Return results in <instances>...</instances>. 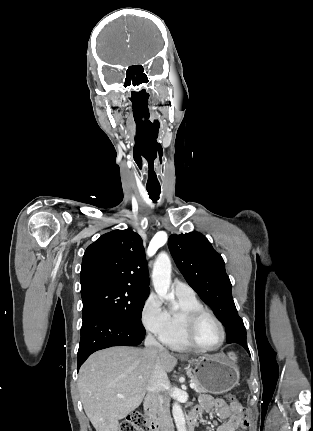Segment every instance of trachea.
Wrapping results in <instances>:
<instances>
[{"instance_id": "1", "label": "trachea", "mask_w": 313, "mask_h": 431, "mask_svg": "<svg viewBox=\"0 0 313 431\" xmlns=\"http://www.w3.org/2000/svg\"><path fill=\"white\" fill-rule=\"evenodd\" d=\"M146 190L149 194L150 199L153 202H156L159 199L161 188L160 186L157 187H146Z\"/></svg>"}]
</instances>
